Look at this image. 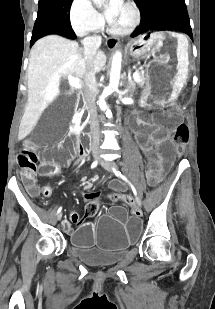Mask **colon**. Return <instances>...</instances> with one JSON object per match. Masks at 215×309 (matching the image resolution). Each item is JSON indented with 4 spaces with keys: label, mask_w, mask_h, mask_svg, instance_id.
<instances>
[{
    "label": "colon",
    "mask_w": 215,
    "mask_h": 309,
    "mask_svg": "<svg viewBox=\"0 0 215 309\" xmlns=\"http://www.w3.org/2000/svg\"><path fill=\"white\" fill-rule=\"evenodd\" d=\"M189 140V129L185 123H180L176 129L174 141L179 147L181 152L184 149V146ZM39 160V154L37 152L26 151L18 155V163L21 168L27 171H33L36 168V164ZM40 170L43 174L49 173L54 174L57 170L55 161H52L51 158H44L40 166ZM52 188L49 185L44 186L43 195L45 197L51 196ZM119 198L118 194H112L110 200L116 202ZM128 199L126 198V201ZM100 209L99 196L96 193H91L89 195V200L85 204V215L89 218H93L97 215Z\"/></svg>",
    "instance_id": "1"
}]
</instances>
